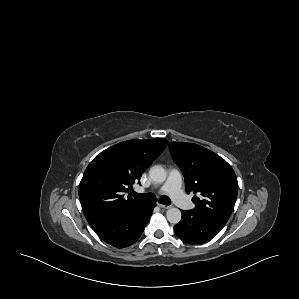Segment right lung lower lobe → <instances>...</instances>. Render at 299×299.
Returning a JSON list of instances; mask_svg holds the SVG:
<instances>
[{"label": "right lung lower lobe", "instance_id": "1", "mask_svg": "<svg viewBox=\"0 0 299 299\" xmlns=\"http://www.w3.org/2000/svg\"><path fill=\"white\" fill-rule=\"evenodd\" d=\"M154 207L155 204L144 203L117 217L98 223L92 228L103 241L114 247L130 246L141 236Z\"/></svg>", "mask_w": 299, "mask_h": 299}]
</instances>
